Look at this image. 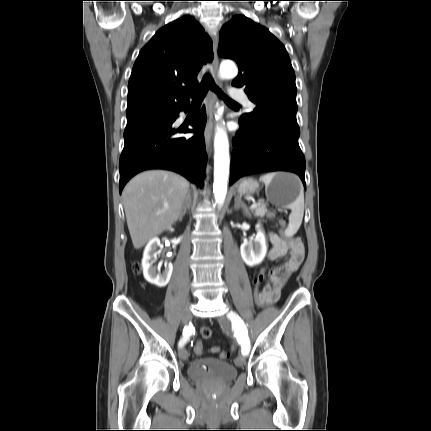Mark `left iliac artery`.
I'll list each match as a JSON object with an SVG mask.
<instances>
[{
  "label": "left iliac artery",
  "mask_w": 431,
  "mask_h": 431,
  "mask_svg": "<svg viewBox=\"0 0 431 431\" xmlns=\"http://www.w3.org/2000/svg\"><path fill=\"white\" fill-rule=\"evenodd\" d=\"M228 316L231 319L232 323L240 330V336L238 337V342L241 344L242 354L248 355L250 351V341L247 334V328L243 320L233 312L229 313Z\"/></svg>",
  "instance_id": "1"
}]
</instances>
